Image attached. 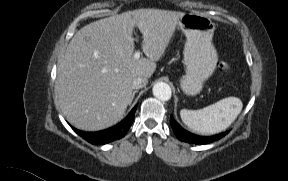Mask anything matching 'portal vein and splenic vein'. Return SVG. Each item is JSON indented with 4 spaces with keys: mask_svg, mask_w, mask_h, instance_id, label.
<instances>
[{
    "mask_svg": "<svg viewBox=\"0 0 288 181\" xmlns=\"http://www.w3.org/2000/svg\"><path fill=\"white\" fill-rule=\"evenodd\" d=\"M140 58V51H136L133 55L134 60H138Z\"/></svg>",
    "mask_w": 288,
    "mask_h": 181,
    "instance_id": "obj_1",
    "label": "portal vein and splenic vein"
}]
</instances>
